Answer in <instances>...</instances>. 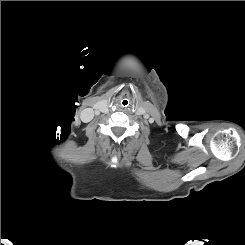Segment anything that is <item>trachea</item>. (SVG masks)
Listing matches in <instances>:
<instances>
[{"instance_id": "3493384b", "label": "trachea", "mask_w": 245, "mask_h": 245, "mask_svg": "<svg viewBox=\"0 0 245 245\" xmlns=\"http://www.w3.org/2000/svg\"><path fill=\"white\" fill-rule=\"evenodd\" d=\"M130 104V100L128 98H123L120 102V105L123 107V108H126L128 107Z\"/></svg>"}]
</instances>
